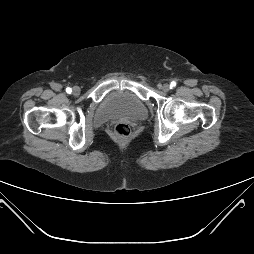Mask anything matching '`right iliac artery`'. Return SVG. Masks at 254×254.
Segmentation results:
<instances>
[{"mask_svg": "<svg viewBox=\"0 0 254 254\" xmlns=\"http://www.w3.org/2000/svg\"><path fill=\"white\" fill-rule=\"evenodd\" d=\"M66 92L70 94V93L72 92V89L68 87V88L66 89Z\"/></svg>", "mask_w": 254, "mask_h": 254, "instance_id": "obj_1", "label": "right iliac artery"}]
</instances>
